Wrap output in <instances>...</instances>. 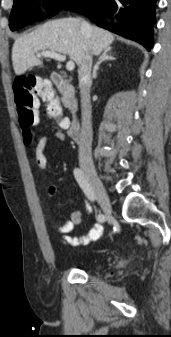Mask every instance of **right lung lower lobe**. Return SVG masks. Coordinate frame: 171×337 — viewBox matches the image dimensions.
Here are the masks:
<instances>
[{
    "label": "right lung lower lobe",
    "instance_id": "obj_1",
    "mask_svg": "<svg viewBox=\"0 0 171 337\" xmlns=\"http://www.w3.org/2000/svg\"><path fill=\"white\" fill-rule=\"evenodd\" d=\"M157 0H75L65 9L84 14L98 26L153 46V26Z\"/></svg>",
    "mask_w": 171,
    "mask_h": 337
}]
</instances>
